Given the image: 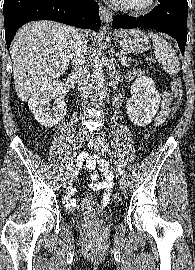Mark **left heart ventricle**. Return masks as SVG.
Segmentation results:
<instances>
[{"label": "left heart ventricle", "instance_id": "left-heart-ventricle-1", "mask_svg": "<svg viewBox=\"0 0 195 270\" xmlns=\"http://www.w3.org/2000/svg\"><path fill=\"white\" fill-rule=\"evenodd\" d=\"M125 1L130 2V3H133V4H142L146 0H125Z\"/></svg>", "mask_w": 195, "mask_h": 270}]
</instances>
